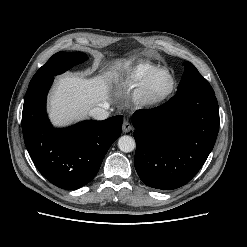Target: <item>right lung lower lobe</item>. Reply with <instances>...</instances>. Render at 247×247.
Here are the masks:
<instances>
[{
  "mask_svg": "<svg viewBox=\"0 0 247 247\" xmlns=\"http://www.w3.org/2000/svg\"><path fill=\"white\" fill-rule=\"evenodd\" d=\"M54 77L29 85L22 112L26 148L38 171L55 186L75 190L97 174L112 143L121 135L122 115L54 129L46 96Z\"/></svg>",
  "mask_w": 247,
  "mask_h": 247,
  "instance_id": "obj_1",
  "label": "right lung lower lobe"
}]
</instances>
